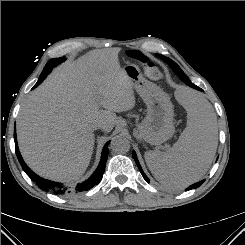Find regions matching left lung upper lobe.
<instances>
[{
    "instance_id": "5c2ea615",
    "label": "left lung upper lobe",
    "mask_w": 245,
    "mask_h": 245,
    "mask_svg": "<svg viewBox=\"0 0 245 245\" xmlns=\"http://www.w3.org/2000/svg\"><path fill=\"white\" fill-rule=\"evenodd\" d=\"M157 56L160 57L162 60H164L166 63H168L179 77L183 76L184 78L187 79V81H190L189 78L184 74V72L180 69V67L175 62H173L171 59L163 55L157 54Z\"/></svg>"
}]
</instances>
